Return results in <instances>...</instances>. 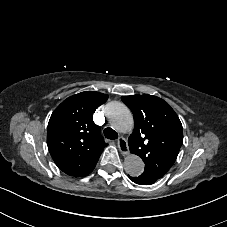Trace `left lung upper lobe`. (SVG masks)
<instances>
[{
    "label": "left lung upper lobe",
    "instance_id": "obj_1",
    "mask_svg": "<svg viewBox=\"0 0 227 227\" xmlns=\"http://www.w3.org/2000/svg\"><path fill=\"white\" fill-rule=\"evenodd\" d=\"M131 109L135 127L128 138L130 152L145 163L143 173L162 178L183 144L180 119L163 99L152 95L122 96Z\"/></svg>",
    "mask_w": 227,
    "mask_h": 227
}]
</instances>
